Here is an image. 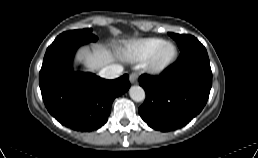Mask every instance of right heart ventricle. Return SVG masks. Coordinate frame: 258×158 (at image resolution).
<instances>
[{
    "instance_id": "right-heart-ventricle-1",
    "label": "right heart ventricle",
    "mask_w": 258,
    "mask_h": 158,
    "mask_svg": "<svg viewBox=\"0 0 258 158\" xmlns=\"http://www.w3.org/2000/svg\"><path fill=\"white\" fill-rule=\"evenodd\" d=\"M163 42L159 38H145L134 41L127 46L126 55L131 62H143Z\"/></svg>"
}]
</instances>
